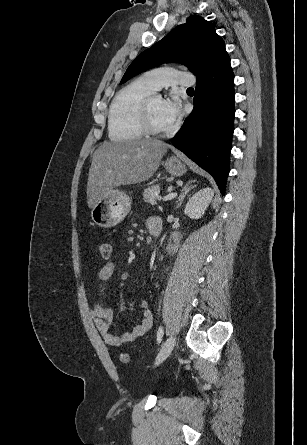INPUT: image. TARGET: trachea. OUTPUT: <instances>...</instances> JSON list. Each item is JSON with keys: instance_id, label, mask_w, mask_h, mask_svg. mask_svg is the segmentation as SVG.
Here are the masks:
<instances>
[{"instance_id": "1", "label": "trachea", "mask_w": 307, "mask_h": 445, "mask_svg": "<svg viewBox=\"0 0 307 445\" xmlns=\"http://www.w3.org/2000/svg\"><path fill=\"white\" fill-rule=\"evenodd\" d=\"M188 90H194L192 87H189V89Z\"/></svg>"}]
</instances>
